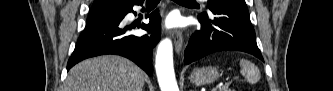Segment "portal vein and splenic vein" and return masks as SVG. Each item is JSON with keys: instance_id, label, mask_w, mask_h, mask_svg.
<instances>
[{"instance_id": "obj_1", "label": "portal vein and splenic vein", "mask_w": 333, "mask_h": 91, "mask_svg": "<svg viewBox=\"0 0 333 91\" xmlns=\"http://www.w3.org/2000/svg\"><path fill=\"white\" fill-rule=\"evenodd\" d=\"M217 88H218L219 90H221V89L225 90V89L228 88V85L219 86V87H217ZM213 91H215V90H213Z\"/></svg>"}]
</instances>
